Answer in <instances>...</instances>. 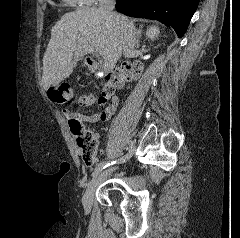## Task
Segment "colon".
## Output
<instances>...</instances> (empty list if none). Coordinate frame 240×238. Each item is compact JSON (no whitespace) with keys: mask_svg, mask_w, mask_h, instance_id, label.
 I'll use <instances>...</instances> for the list:
<instances>
[{"mask_svg":"<svg viewBox=\"0 0 240 238\" xmlns=\"http://www.w3.org/2000/svg\"><path fill=\"white\" fill-rule=\"evenodd\" d=\"M140 72L141 69L137 65H129L108 73L102 85L100 102L110 101L118 88L123 86L125 82L137 77ZM73 93V87L68 83H61L48 88L49 98L59 104L69 102L73 97ZM68 123L71 133L76 138V144L82 159L88 164L93 163L94 158L98 155V142L95 134L75 118L69 119Z\"/></svg>","mask_w":240,"mask_h":238,"instance_id":"5ec220e1","label":"colon"}]
</instances>
